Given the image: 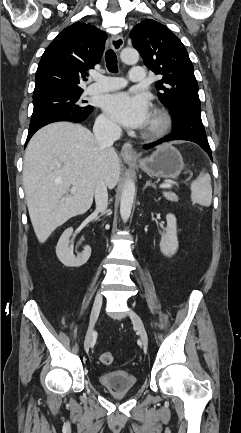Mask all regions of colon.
Segmentation results:
<instances>
[{
  "label": "colon",
  "mask_w": 241,
  "mask_h": 433,
  "mask_svg": "<svg viewBox=\"0 0 241 433\" xmlns=\"http://www.w3.org/2000/svg\"><path fill=\"white\" fill-rule=\"evenodd\" d=\"M113 360H114V357H113L112 353H110V352H103L100 355V361L103 364H111L113 362Z\"/></svg>",
  "instance_id": "colon-1"
}]
</instances>
